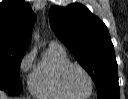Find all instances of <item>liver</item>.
<instances>
[{"label":"liver","instance_id":"1","mask_svg":"<svg viewBox=\"0 0 128 99\" xmlns=\"http://www.w3.org/2000/svg\"><path fill=\"white\" fill-rule=\"evenodd\" d=\"M0 99H8V97L3 91H0Z\"/></svg>","mask_w":128,"mask_h":99}]
</instances>
